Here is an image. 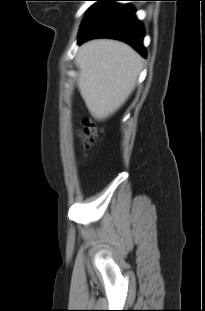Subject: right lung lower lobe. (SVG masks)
Masks as SVG:
<instances>
[{
    "instance_id": "1",
    "label": "right lung lower lobe",
    "mask_w": 205,
    "mask_h": 311,
    "mask_svg": "<svg viewBox=\"0 0 205 311\" xmlns=\"http://www.w3.org/2000/svg\"><path fill=\"white\" fill-rule=\"evenodd\" d=\"M88 11L79 31L78 43L92 38H114L134 47L143 57L144 29L135 19L134 10L129 5H114L119 0H97Z\"/></svg>"
}]
</instances>
